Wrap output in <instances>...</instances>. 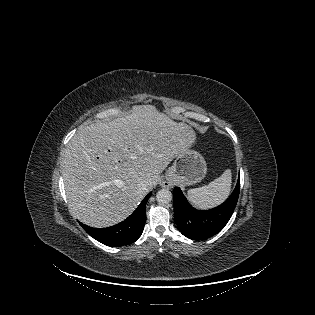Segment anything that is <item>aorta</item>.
Segmentation results:
<instances>
[{"label":"aorta","instance_id":"762f6f07","mask_svg":"<svg viewBox=\"0 0 315 315\" xmlns=\"http://www.w3.org/2000/svg\"><path fill=\"white\" fill-rule=\"evenodd\" d=\"M156 200L159 204L166 205L172 200V193L168 189H161L156 194Z\"/></svg>","mask_w":315,"mask_h":315}]
</instances>
